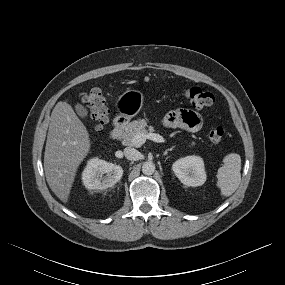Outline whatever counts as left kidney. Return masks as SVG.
<instances>
[{"instance_id": "left-kidney-1", "label": "left kidney", "mask_w": 285, "mask_h": 285, "mask_svg": "<svg viewBox=\"0 0 285 285\" xmlns=\"http://www.w3.org/2000/svg\"><path fill=\"white\" fill-rule=\"evenodd\" d=\"M172 169L177 178L186 186H201L206 181L204 162L199 156H187L175 161Z\"/></svg>"}]
</instances>
